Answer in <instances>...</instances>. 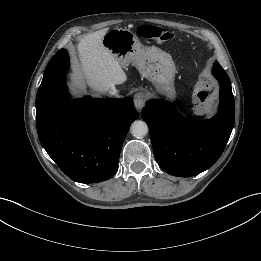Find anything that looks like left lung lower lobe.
Wrapping results in <instances>:
<instances>
[{
	"label": "left lung lower lobe",
	"mask_w": 261,
	"mask_h": 261,
	"mask_svg": "<svg viewBox=\"0 0 261 261\" xmlns=\"http://www.w3.org/2000/svg\"><path fill=\"white\" fill-rule=\"evenodd\" d=\"M212 73L220 83V104L211 120H187L163 101L150 100L143 108L156 161L171 175L189 177L210 168L230 137L235 116L231 83L218 62Z\"/></svg>",
	"instance_id": "1"
}]
</instances>
